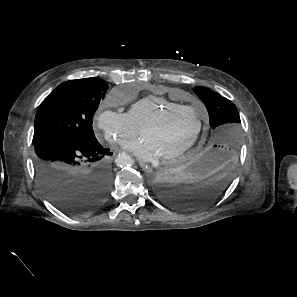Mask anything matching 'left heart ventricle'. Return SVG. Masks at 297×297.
<instances>
[{
    "mask_svg": "<svg viewBox=\"0 0 297 297\" xmlns=\"http://www.w3.org/2000/svg\"><path fill=\"white\" fill-rule=\"evenodd\" d=\"M197 126L196 115L191 110H181L165 116L160 122L140 129L142 137L150 139L164 156L184 145Z\"/></svg>",
    "mask_w": 297,
    "mask_h": 297,
    "instance_id": "1",
    "label": "left heart ventricle"
}]
</instances>
